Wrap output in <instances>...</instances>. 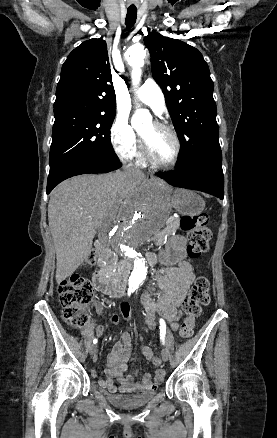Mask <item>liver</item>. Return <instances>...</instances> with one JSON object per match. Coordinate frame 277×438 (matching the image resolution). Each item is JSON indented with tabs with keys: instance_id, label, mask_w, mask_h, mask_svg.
Masks as SVG:
<instances>
[{
	"instance_id": "6515ba94",
	"label": "liver",
	"mask_w": 277,
	"mask_h": 438,
	"mask_svg": "<svg viewBox=\"0 0 277 438\" xmlns=\"http://www.w3.org/2000/svg\"><path fill=\"white\" fill-rule=\"evenodd\" d=\"M143 178L142 172L83 174L54 188L48 204V222L56 252L58 284L74 274L90 254L97 230L110 228L117 214L120 218L121 205H128V188H137Z\"/></svg>"
}]
</instances>
